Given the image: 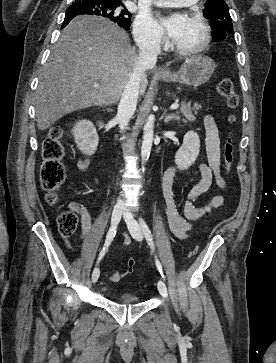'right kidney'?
<instances>
[{"label":"right kidney","instance_id":"obj_1","mask_svg":"<svg viewBox=\"0 0 276 363\" xmlns=\"http://www.w3.org/2000/svg\"><path fill=\"white\" fill-rule=\"evenodd\" d=\"M77 148L85 155H93L98 146L99 137L96 128L89 120H81L72 129Z\"/></svg>","mask_w":276,"mask_h":363}]
</instances>
